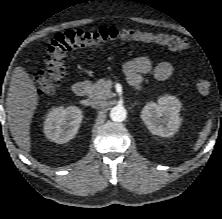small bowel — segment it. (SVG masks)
<instances>
[{"instance_id": "c3829d8e", "label": "small bowel", "mask_w": 222, "mask_h": 219, "mask_svg": "<svg viewBox=\"0 0 222 219\" xmlns=\"http://www.w3.org/2000/svg\"><path fill=\"white\" fill-rule=\"evenodd\" d=\"M124 72L130 85L137 86L141 83L143 75L152 74L156 80H166L173 73L170 62L162 61L154 65L147 56L137 57L124 65Z\"/></svg>"}]
</instances>
